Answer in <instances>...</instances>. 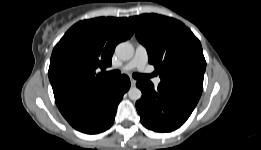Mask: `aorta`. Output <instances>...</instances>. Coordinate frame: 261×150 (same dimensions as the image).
<instances>
[{"label":"aorta","instance_id":"obj_1","mask_svg":"<svg viewBox=\"0 0 261 150\" xmlns=\"http://www.w3.org/2000/svg\"><path fill=\"white\" fill-rule=\"evenodd\" d=\"M117 56L122 60H129L134 55V47L130 42L119 43L115 50ZM128 96L131 100L137 101L141 98V90L137 87H131L128 91Z\"/></svg>","mask_w":261,"mask_h":150}]
</instances>
